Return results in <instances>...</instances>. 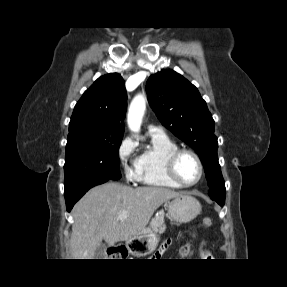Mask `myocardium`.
<instances>
[{
	"label": "myocardium",
	"instance_id": "f54148a6",
	"mask_svg": "<svg viewBox=\"0 0 287 287\" xmlns=\"http://www.w3.org/2000/svg\"><path fill=\"white\" fill-rule=\"evenodd\" d=\"M185 154L192 156L197 162L198 167H199V176L197 180L190 184H186L182 182L177 173V162L179 158ZM166 168H167V172L170 178H172L180 187H183V188H190V187L196 186L201 181L204 175V166H203L201 158L195 151L191 149H186V148H178L174 150L173 152H171L168 155L167 160H166Z\"/></svg>",
	"mask_w": 287,
	"mask_h": 287
}]
</instances>
